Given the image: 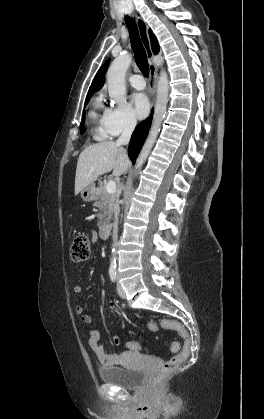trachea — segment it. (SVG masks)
Listing matches in <instances>:
<instances>
[{"instance_id":"trachea-1","label":"trachea","mask_w":264,"mask_h":419,"mask_svg":"<svg viewBox=\"0 0 264 419\" xmlns=\"http://www.w3.org/2000/svg\"><path fill=\"white\" fill-rule=\"evenodd\" d=\"M125 22L129 30L131 46H132V50L136 58L137 65L140 68L141 72L146 77H148L149 67H148L147 55L142 45L139 32L137 29V25L135 21L129 16H125Z\"/></svg>"}]
</instances>
